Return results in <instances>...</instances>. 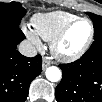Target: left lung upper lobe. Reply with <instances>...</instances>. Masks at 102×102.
<instances>
[{
	"label": "left lung upper lobe",
	"instance_id": "1",
	"mask_svg": "<svg viewBox=\"0 0 102 102\" xmlns=\"http://www.w3.org/2000/svg\"><path fill=\"white\" fill-rule=\"evenodd\" d=\"M94 23V39L102 38V16L87 12Z\"/></svg>",
	"mask_w": 102,
	"mask_h": 102
}]
</instances>
